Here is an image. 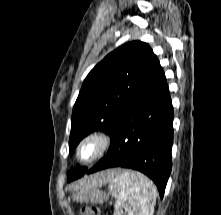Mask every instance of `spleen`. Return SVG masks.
<instances>
[{"label": "spleen", "instance_id": "3e777b00", "mask_svg": "<svg viewBox=\"0 0 221 215\" xmlns=\"http://www.w3.org/2000/svg\"><path fill=\"white\" fill-rule=\"evenodd\" d=\"M109 189L116 199V212L123 206L128 215H152L157 190L144 175L118 171L110 181Z\"/></svg>", "mask_w": 221, "mask_h": 215}]
</instances>
